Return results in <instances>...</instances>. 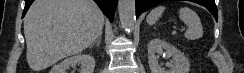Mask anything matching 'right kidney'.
<instances>
[{"label": "right kidney", "mask_w": 244, "mask_h": 73, "mask_svg": "<svg viewBox=\"0 0 244 73\" xmlns=\"http://www.w3.org/2000/svg\"><path fill=\"white\" fill-rule=\"evenodd\" d=\"M77 64L81 65V73H93L95 68V59L91 55L78 54L54 65L50 73H65L70 66L76 67Z\"/></svg>", "instance_id": "obj_1"}]
</instances>
